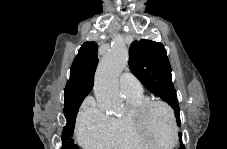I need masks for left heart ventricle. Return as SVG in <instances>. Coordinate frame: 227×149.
Here are the masks:
<instances>
[{
	"label": "left heart ventricle",
	"instance_id": "1",
	"mask_svg": "<svg viewBox=\"0 0 227 149\" xmlns=\"http://www.w3.org/2000/svg\"><path fill=\"white\" fill-rule=\"evenodd\" d=\"M148 136L158 144H169L172 141V123L168 112L160 107H153L146 117Z\"/></svg>",
	"mask_w": 227,
	"mask_h": 149
}]
</instances>
